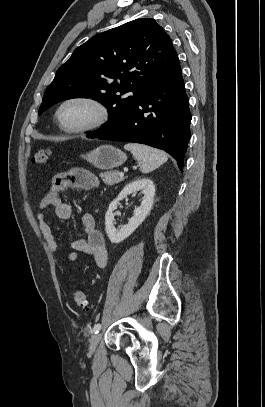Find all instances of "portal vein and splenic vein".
I'll return each mask as SVG.
<instances>
[{"instance_id": "portal-vein-and-splenic-vein-1", "label": "portal vein and splenic vein", "mask_w": 265, "mask_h": 407, "mask_svg": "<svg viewBox=\"0 0 265 407\" xmlns=\"http://www.w3.org/2000/svg\"><path fill=\"white\" fill-rule=\"evenodd\" d=\"M119 176H120V177H123V176H124V173H123V172H119Z\"/></svg>"}]
</instances>
